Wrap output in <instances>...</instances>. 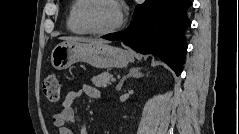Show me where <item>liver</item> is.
Here are the masks:
<instances>
[{
    "label": "liver",
    "mask_w": 239,
    "mask_h": 134,
    "mask_svg": "<svg viewBox=\"0 0 239 134\" xmlns=\"http://www.w3.org/2000/svg\"><path fill=\"white\" fill-rule=\"evenodd\" d=\"M62 40L66 41H79V42H87V43H106L104 40H94L90 38L83 37H61Z\"/></svg>",
    "instance_id": "obj_1"
}]
</instances>
